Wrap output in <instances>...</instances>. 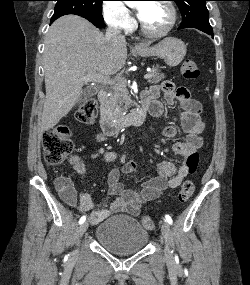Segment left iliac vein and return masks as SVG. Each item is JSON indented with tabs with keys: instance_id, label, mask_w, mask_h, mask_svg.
Here are the masks:
<instances>
[{
	"instance_id": "left-iliac-vein-1",
	"label": "left iliac vein",
	"mask_w": 250,
	"mask_h": 285,
	"mask_svg": "<svg viewBox=\"0 0 250 285\" xmlns=\"http://www.w3.org/2000/svg\"><path fill=\"white\" fill-rule=\"evenodd\" d=\"M161 231H162L163 237L165 239V244H166L165 255H166V257H170L171 253H170L169 244H170V239H171V228H170V225L167 221L162 222Z\"/></svg>"
}]
</instances>
